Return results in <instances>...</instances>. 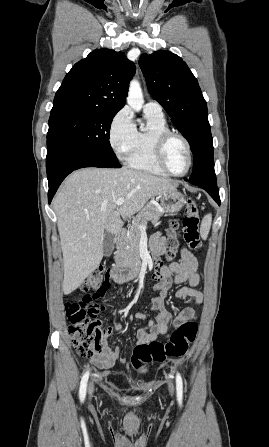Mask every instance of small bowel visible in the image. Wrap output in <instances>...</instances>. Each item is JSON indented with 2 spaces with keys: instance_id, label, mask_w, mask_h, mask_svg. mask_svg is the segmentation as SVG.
Instances as JSON below:
<instances>
[{
  "instance_id": "1",
  "label": "small bowel",
  "mask_w": 269,
  "mask_h": 447,
  "mask_svg": "<svg viewBox=\"0 0 269 447\" xmlns=\"http://www.w3.org/2000/svg\"><path fill=\"white\" fill-rule=\"evenodd\" d=\"M151 249L156 255H161L165 252V238L160 232H156L152 236ZM155 279L157 283L154 288L158 295L152 299L151 309L158 312L157 320H150L148 314L144 312H136L134 314L137 320H147V325L137 332L139 344L147 343L159 336L168 334L172 314L165 306V299L172 284H186L174 293L176 299H193L197 304L203 300V294L195 289L200 281L198 262L187 248L181 250L180 262L162 265L156 273ZM114 315H116L115 312ZM191 319H196V312L192 308H185L177 315L174 326L179 328L181 326L180 321ZM116 361H120L122 364L125 363V359L120 357L119 348L112 347L106 340L103 343V352L92 357V362L102 369L113 367Z\"/></svg>"
}]
</instances>
